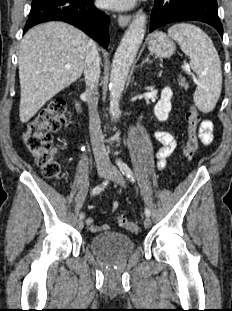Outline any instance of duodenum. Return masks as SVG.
I'll use <instances>...</instances> for the list:
<instances>
[{"label":"duodenum","mask_w":232,"mask_h":311,"mask_svg":"<svg viewBox=\"0 0 232 311\" xmlns=\"http://www.w3.org/2000/svg\"><path fill=\"white\" fill-rule=\"evenodd\" d=\"M76 109H77L78 113L82 112V106L79 103H76Z\"/></svg>","instance_id":"duodenum-1"}]
</instances>
